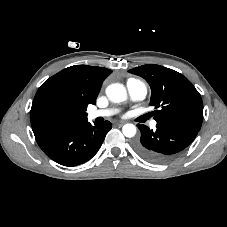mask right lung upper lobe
Returning <instances> with one entry per match:
<instances>
[{"label":"right lung upper lobe","mask_w":227,"mask_h":227,"mask_svg":"<svg viewBox=\"0 0 227 227\" xmlns=\"http://www.w3.org/2000/svg\"><path fill=\"white\" fill-rule=\"evenodd\" d=\"M112 70L88 65H74L50 77L38 89L35 98L44 92H54L68 100L79 116L87 119L88 104H95L102 82ZM33 132L40 129L32 126Z\"/></svg>","instance_id":"right-lung-upper-lobe-1"}]
</instances>
